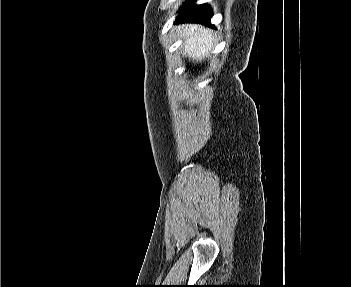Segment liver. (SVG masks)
<instances>
[{"label":"liver","mask_w":351,"mask_h":287,"mask_svg":"<svg viewBox=\"0 0 351 287\" xmlns=\"http://www.w3.org/2000/svg\"><path fill=\"white\" fill-rule=\"evenodd\" d=\"M180 35L185 39L184 53L193 62H201L210 55L215 39L212 31L196 24H183L178 26Z\"/></svg>","instance_id":"1"}]
</instances>
